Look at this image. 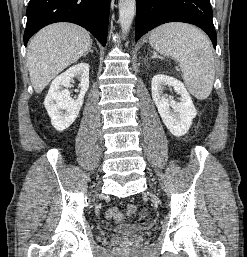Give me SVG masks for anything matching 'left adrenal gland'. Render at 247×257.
<instances>
[{
  "instance_id": "left-adrenal-gland-1",
  "label": "left adrenal gland",
  "mask_w": 247,
  "mask_h": 257,
  "mask_svg": "<svg viewBox=\"0 0 247 257\" xmlns=\"http://www.w3.org/2000/svg\"><path fill=\"white\" fill-rule=\"evenodd\" d=\"M154 58H160V59H162V57L158 56L156 52H153L152 59H154Z\"/></svg>"
}]
</instances>
